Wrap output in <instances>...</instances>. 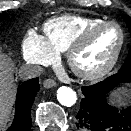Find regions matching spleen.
I'll use <instances>...</instances> for the list:
<instances>
[{"instance_id": "3e777b00", "label": "spleen", "mask_w": 131, "mask_h": 131, "mask_svg": "<svg viewBox=\"0 0 131 131\" xmlns=\"http://www.w3.org/2000/svg\"><path fill=\"white\" fill-rule=\"evenodd\" d=\"M127 91L119 89L112 93V100L116 103H123L126 100Z\"/></svg>"}]
</instances>
